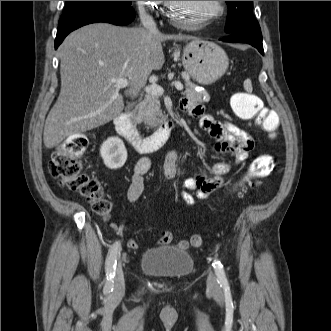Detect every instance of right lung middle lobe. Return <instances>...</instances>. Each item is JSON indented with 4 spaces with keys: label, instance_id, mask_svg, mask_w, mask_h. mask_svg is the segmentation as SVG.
Instances as JSON below:
<instances>
[{
    "label": "right lung middle lobe",
    "instance_id": "dd1d6c3e",
    "mask_svg": "<svg viewBox=\"0 0 331 331\" xmlns=\"http://www.w3.org/2000/svg\"><path fill=\"white\" fill-rule=\"evenodd\" d=\"M131 1H66V7L59 25L72 21L86 14L101 10L128 7Z\"/></svg>",
    "mask_w": 331,
    "mask_h": 331
}]
</instances>
